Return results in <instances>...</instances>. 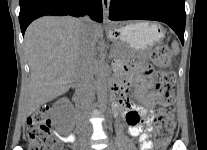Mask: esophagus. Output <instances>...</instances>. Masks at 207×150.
I'll return each mask as SVG.
<instances>
[{"instance_id":"34e87169","label":"esophagus","mask_w":207,"mask_h":150,"mask_svg":"<svg viewBox=\"0 0 207 150\" xmlns=\"http://www.w3.org/2000/svg\"><path fill=\"white\" fill-rule=\"evenodd\" d=\"M109 4L110 0H102V9H103V22L104 24H109Z\"/></svg>"}]
</instances>
